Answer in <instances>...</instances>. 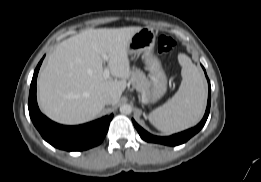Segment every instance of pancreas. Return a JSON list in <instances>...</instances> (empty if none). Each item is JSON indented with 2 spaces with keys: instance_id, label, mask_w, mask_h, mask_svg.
<instances>
[{
  "instance_id": "obj_1",
  "label": "pancreas",
  "mask_w": 261,
  "mask_h": 182,
  "mask_svg": "<svg viewBox=\"0 0 261 182\" xmlns=\"http://www.w3.org/2000/svg\"><path fill=\"white\" fill-rule=\"evenodd\" d=\"M130 83L136 90L140 91L141 93H144L146 99H148L150 91V82L141 70L135 68L132 70Z\"/></svg>"
}]
</instances>
